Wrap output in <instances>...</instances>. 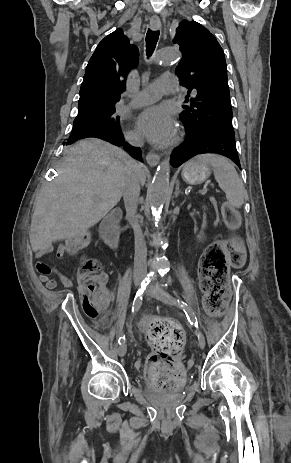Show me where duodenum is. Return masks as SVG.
<instances>
[{"mask_svg":"<svg viewBox=\"0 0 291 463\" xmlns=\"http://www.w3.org/2000/svg\"><path fill=\"white\" fill-rule=\"evenodd\" d=\"M121 218V211L113 209L107 214L100 224V233L104 242L112 249H118L121 246L120 232L117 223Z\"/></svg>","mask_w":291,"mask_h":463,"instance_id":"obj_1","label":"duodenum"}]
</instances>
